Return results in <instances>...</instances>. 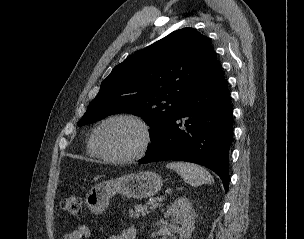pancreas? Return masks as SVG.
Returning a JSON list of instances; mask_svg holds the SVG:
<instances>
[{
  "label": "pancreas",
  "mask_w": 304,
  "mask_h": 239,
  "mask_svg": "<svg viewBox=\"0 0 304 239\" xmlns=\"http://www.w3.org/2000/svg\"><path fill=\"white\" fill-rule=\"evenodd\" d=\"M149 213V206L148 205H136L134 210H129V215L133 218H138L139 216H145Z\"/></svg>",
  "instance_id": "obj_1"
}]
</instances>
